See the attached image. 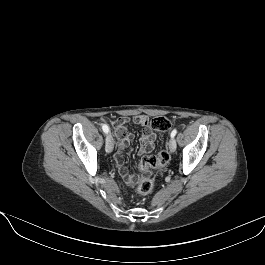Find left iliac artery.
I'll list each match as a JSON object with an SVG mask.
<instances>
[{
  "label": "left iliac artery",
  "mask_w": 265,
  "mask_h": 265,
  "mask_svg": "<svg viewBox=\"0 0 265 265\" xmlns=\"http://www.w3.org/2000/svg\"><path fill=\"white\" fill-rule=\"evenodd\" d=\"M176 134H177V130L174 129V130L171 132V137H174Z\"/></svg>",
  "instance_id": "44dca946"
}]
</instances>
